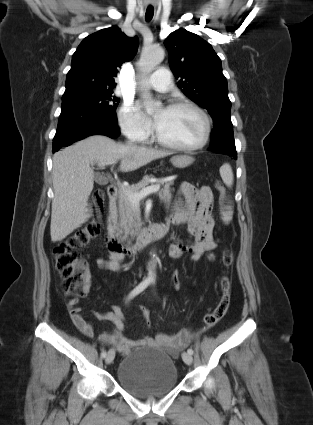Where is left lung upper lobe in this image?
Wrapping results in <instances>:
<instances>
[{
    "label": "left lung upper lobe",
    "mask_w": 313,
    "mask_h": 425,
    "mask_svg": "<svg viewBox=\"0 0 313 425\" xmlns=\"http://www.w3.org/2000/svg\"><path fill=\"white\" fill-rule=\"evenodd\" d=\"M178 87L192 101L207 109L214 128L232 127L231 102L221 60L212 46L185 29L171 33L164 42Z\"/></svg>",
    "instance_id": "left-lung-upper-lobe-1"
}]
</instances>
